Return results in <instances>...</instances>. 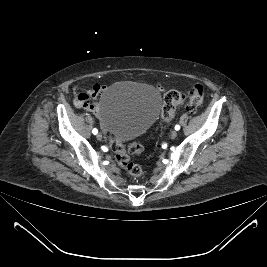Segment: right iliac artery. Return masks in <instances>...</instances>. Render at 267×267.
Listing matches in <instances>:
<instances>
[{
    "mask_svg": "<svg viewBox=\"0 0 267 267\" xmlns=\"http://www.w3.org/2000/svg\"><path fill=\"white\" fill-rule=\"evenodd\" d=\"M92 132H93V134H97L98 130L96 128H94Z\"/></svg>",
    "mask_w": 267,
    "mask_h": 267,
    "instance_id": "1",
    "label": "right iliac artery"
}]
</instances>
